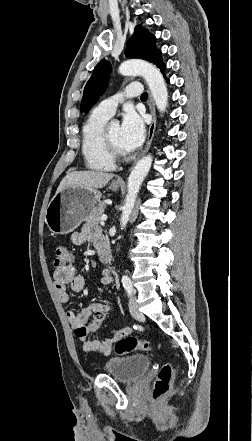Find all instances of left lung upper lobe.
<instances>
[{
  "label": "left lung upper lobe",
  "instance_id": "5c2ea615",
  "mask_svg": "<svg viewBox=\"0 0 252 441\" xmlns=\"http://www.w3.org/2000/svg\"><path fill=\"white\" fill-rule=\"evenodd\" d=\"M155 40L153 34L141 25H137L131 39L127 42L126 56L144 59L156 65L161 53L155 46ZM111 69V64L107 60H102L96 65L84 88L81 112L87 113L106 90Z\"/></svg>",
  "mask_w": 252,
  "mask_h": 441
}]
</instances>
